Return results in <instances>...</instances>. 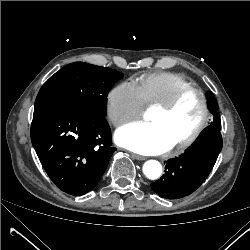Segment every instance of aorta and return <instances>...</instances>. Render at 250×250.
Returning <instances> with one entry per match:
<instances>
[{"instance_id": "obj_1", "label": "aorta", "mask_w": 250, "mask_h": 250, "mask_svg": "<svg viewBox=\"0 0 250 250\" xmlns=\"http://www.w3.org/2000/svg\"><path fill=\"white\" fill-rule=\"evenodd\" d=\"M143 173L148 179L155 180L161 176L162 166L156 160L146 161L143 165Z\"/></svg>"}]
</instances>
